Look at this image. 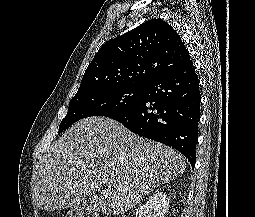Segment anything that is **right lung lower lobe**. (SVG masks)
<instances>
[{
  "mask_svg": "<svg viewBox=\"0 0 255 217\" xmlns=\"http://www.w3.org/2000/svg\"><path fill=\"white\" fill-rule=\"evenodd\" d=\"M199 79L192 61L146 86L131 107L112 118L145 138L172 146L195 165L200 117Z\"/></svg>",
  "mask_w": 255,
  "mask_h": 217,
  "instance_id": "1",
  "label": "right lung lower lobe"
}]
</instances>
